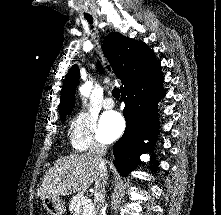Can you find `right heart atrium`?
Segmentation results:
<instances>
[{"mask_svg":"<svg viewBox=\"0 0 221 215\" xmlns=\"http://www.w3.org/2000/svg\"><path fill=\"white\" fill-rule=\"evenodd\" d=\"M70 126V141L76 151H87L106 141L98 130L96 117L88 112L77 113L72 118Z\"/></svg>","mask_w":221,"mask_h":215,"instance_id":"right-heart-atrium-1","label":"right heart atrium"}]
</instances>
